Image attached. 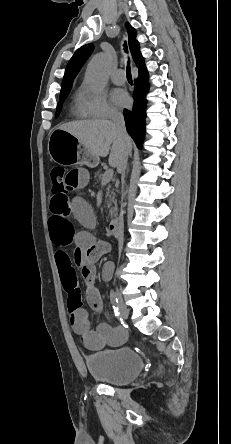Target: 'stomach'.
I'll return each mask as SVG.
<instances>
[{"mask_svg": "<svg viewBox=\"0 0 231 444\" xmlns=\"http://www.w3.org/2000/svg\"><path fill=\"white\" fill-rule=\"evenodd\" d=\"M48 152L59 164H83L95 167L99 158L85 147L75 136L62 129L54 130L49 137Z\"/></svg>", "mask_w": 231, "mask_h": 444, "instance_id": "stomach-1", "label": "stomach"}]
</instances>
